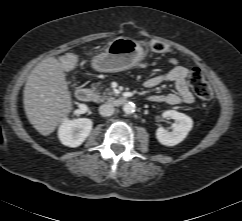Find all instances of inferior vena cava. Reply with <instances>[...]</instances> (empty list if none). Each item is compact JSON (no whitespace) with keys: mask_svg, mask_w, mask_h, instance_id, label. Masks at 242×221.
I'll return each instance as SVG.
<instances>
[{"mask_svg":"<svg viewBox=\"0 0 242 221\" xmlns=\"http://www.w3.org/2000/svg\"><path fill=\"white\" fill-rule=\"evenodd\" d=\"M115 111V108L111 104H103L99 107V113L100 115L104 117L111 116Z\"/></svg>","mask_w":242,"mask_h":221,"instance_id":"obj_1","label":"inferior vena cava"}]
</instances>
